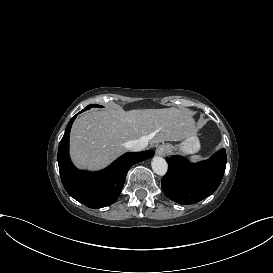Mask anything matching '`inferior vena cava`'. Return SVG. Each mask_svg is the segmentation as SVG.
<instances>
[{
    "label": "inferior vena cava",
    "mask_w": 273,
    "mask_h": 273,
    "mask_svg": "<svg viewBox=\"0 0 273 273\" xmlns=\"http://www.w3.org/2000/svg\"><path fill=\"white\" fill-rule=\"evenodd\" d=\"M124 145L127 149L131 151H141L144 148H146V146L148 145V142L144 139H140V140L128 141Z\"/></svg>",
    "instance_id": "1"
}]
</instances>
